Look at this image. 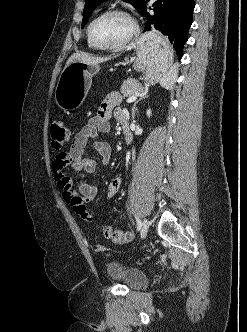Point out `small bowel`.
I'll list each match as a JSON object with an SVG mask.
<instances>
[{"instance_id": "obj_1", "label": "small bowel", "mask_w": 247, "mask_h": 332, "mask_svg": "<svg viewBox=\"0 0 247 332\" xmlns=\"http://www.w3.org/2000/svg\"><path fill=\"white\" fill-rule=\"evenodd\" d=\"M120 102L119 94L114 92L107 96L101 103L96 116L90 118L88 123L76 134L69 152H60L56 155L53 164V177L56 185L62 191L64 200L71 205L73 210L83 219L92 220V213L88 210L90 203L98 192L96 184H90L82 180L75 189L73 179L68 174V168L85 174L93 173L97 168V162L85 155V149L89 139H95L101 132L109 130L108 119L113 109L115 117L119 120L126 117L124 111L117 107ZM94 149L100 157V163L106 165L111 157V146L106 141L96 140L93 143ZM122 185V178H113L107 186L106 197L112 199L116 196Z\"/></svg>"}]
</instances>
